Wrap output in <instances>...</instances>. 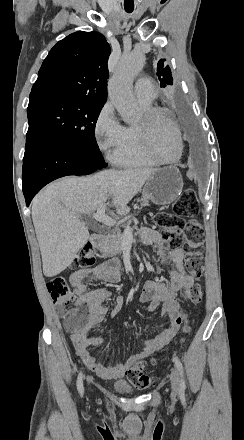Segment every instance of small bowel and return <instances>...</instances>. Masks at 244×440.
Masks as SVG:
<instances>
[{
  "label": "small bowel",
  "mask_w": 244,
  "mask_h": 440,
  "mask_svg": "<svg viewBox=\"0 0 244 440\" xmlns=\"http://www.w3.org/2000/svg\"><path fill=\"white\" fill-rule=\"evenodd\" d=\"M142 240L146 245L162 246L163 240L160 233L151 228L142 231ZM165 259L173 269L169 274V282L160 280H147L142 288L139 301L148 303L147 311L155 312L162 306L163 315L171 318V323L166 326L155 338L145 342L139 351L128 358L124 363L103 364L97 362L91 354V348H99L102 339L90 336L88 329L100 324L104 320L107 308L104 301L111 296V292L103 288L88 290L84 280L95 277L106 283H116L120 279V264L118 262L102 264L93 268L80 269L70 276V284L78 300H87L90 314L86 326L81 329L79 335H71V341L77 355L82 359L86 367L104 380H119L124 378L128 371L139 361L162 350L178 334L182 323V312L178 303L179 292L195 282V277L189 273L184 265L185 252L182 248H171L167 251ZM120 299L115 306L119 309Z\"/></svg>",
  "instance_id": "small-bowel-1"
}]
</instances>
